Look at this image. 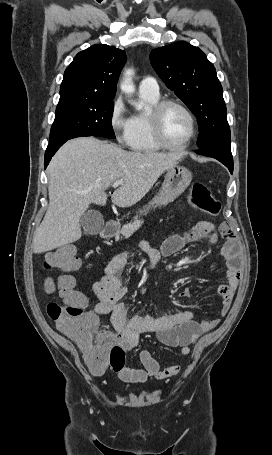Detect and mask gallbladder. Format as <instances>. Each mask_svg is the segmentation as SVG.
I'll list each match as a JSON object with an SVG mask.
<instances>
[{
    "instance_id": "obj_1",
    "label": "gallbladder",
    "mask_w": 272,
    "mask_h": 455,
    "mask_svg": "<svg viewBox=\"0 0 272 455\" xmlns=\"http://www.w3.org/2000/svg\"><path fill=\"white\" fill-rule=\"evenodd\" d=\"M80 225L87 234H97L104 226L102 215L94 210H89L80 218Z\"/></svg>"
}]
</instances>
